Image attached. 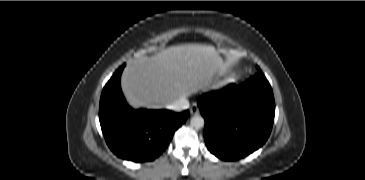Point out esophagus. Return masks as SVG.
Instances as JSON below:
<instances>
[{
    "label": "esophagus",
    "mask_w": 365,
    "mask_h": 180,
    "mask_svg": "<svg viewBox=\"0 0 365 180\" xmlns=\"http://www.w3.org/2000/svg\"><path fill=\"white\" fill-rule=\"evenodd\" d=\"M190 114L191 115H198L199 114V108L197 107V105H193L190 108Z\"/></svg>",
    "instance_id": "obj_1"
}]
</instances>
